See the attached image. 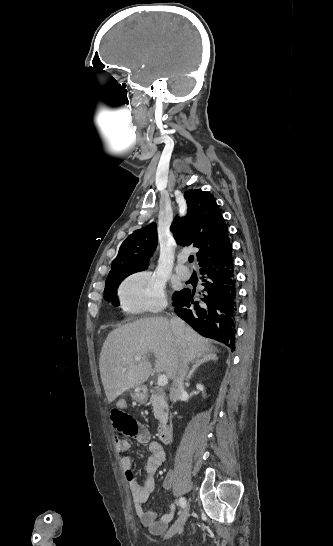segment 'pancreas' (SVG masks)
<instances>
[{
	"instance_id": "obj_1",
	"label": "pancreas",
	"mask_w": 333,
	"mask_h": 546,
	"mask_svg": "<svg viewBox=\"0 0 333 546\" xmlns=\"http://www.w3.org/2000/svg\"><path fill=\"white\" fill-rule=\"evenodd\" d=\"M150 393V403L153 406L154 417L158 420H161L166 414L165 410H167L168 408L166 398L162 393L161 388H159L158 386L151 389Z\"/></svg>"
}]
</instances>
